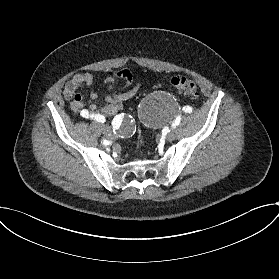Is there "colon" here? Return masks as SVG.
Wrapping results in <instances>:
<instances>
[{"mask_svg": "<svg viewBox=\"0 0 279 279\" xmlns=\"http://www.w3.org/2000/svg\"><path fill=\"white\" fill-rule=\"evenodd\" d=\"M171 86L181 93L192 97L198 96L197 84L190 78L185 76H175L170 80Z\"/></svg>", "mask_w": 279, "mask_h": 279, "instance_id": "5ec220e1", "label": "colon"}]
</instances>
